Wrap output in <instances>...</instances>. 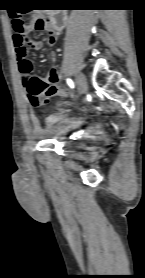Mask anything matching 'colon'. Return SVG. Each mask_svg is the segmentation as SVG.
<instances>
[{
  "label": "colon",
  "instance_id": "obj_1",
  "mask_svg": "<svg viewBox=\"0 0 145 278\" xmlns=\"http://www.w3.org/2000/svg\"><path fill=\"white\" fill-rule=\"evenodd\" d=\"M47 25H48V23L45 19H36L34 21V28L37 30H43L47 27ZM12 28L14 31V38L17 41V43H22L24 45L29 43V38L25 32V25L20 18H18L16 16L12 17ZM26 53H27L26 48H22V49L16 48L17 57L22 58V57L26 56ZM33 87H34V85L32 84L31 88H33ZM30 100L33 103V105H35V106L39 105V98H38L37 92H31Z\"/></svg>",
  "mask_w": 145,
  "mask_h": 278
}]
</instances>
